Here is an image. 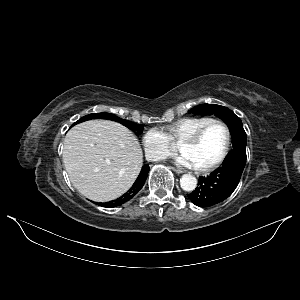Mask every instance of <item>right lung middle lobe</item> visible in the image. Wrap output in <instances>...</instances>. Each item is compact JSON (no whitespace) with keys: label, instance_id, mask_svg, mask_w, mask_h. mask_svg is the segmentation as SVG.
I'll use <instances>...</instances> for the list:
<instances>
[{"label":"right lung middle lobe","instance_id":"right-lung-middle-lobe-1","mask_svg":"<svg viewBox=\"0 0 300 300\" xmlns=\"http://www.w3.org/2000/svg\"><path fill=\"white\" fill-rule=\"evenodd\" d=\"M91 119L113 120V121L123 124L124 126H126L127 128H129L133 131H138V132H141L143 129V126L141 124H136V123H132L131 121H128V120L120 119L119 117L115 116L114 114H110V113H98V114L86 115V116L80 118L78 121H76L72 126H74L80 122H84V121L91 120Z\"/></svg>","mask_w":300,"mask_h":300}]
</instances>
